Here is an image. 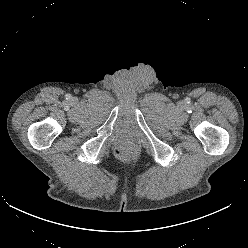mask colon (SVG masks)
<instances>
[{
  "label": "colon",
  "instance_id": "colon-1",
  "mask_svg": "<svg viewBox=\"0 0 248 248\" xmlns=\"http://www.w3.org/2000/svg\"><path fill=\"white\" fill-rule=\"evenodd\" d=\"M115 154L118 158L129 159L132 156V151L126 148H118L116 149Z\"/></svg>",
  "mask_w": 248,
  "mask_h": 248
}]
</instances>
